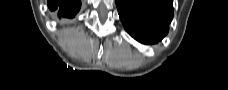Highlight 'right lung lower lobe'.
Returning a JSON list of instances; mask_svg holds the SVG:
<instances>
[{
  "mask_svg": "<svg viewBox=\"0 0 228 90\" xmlns=\"http://www.w3.org/2000/svg\"><path fill=\"white\" fill-rule=\"evenodd\" d=\"M81 2L79 0H48L50 10H58L63 17H74L79 11Z\"/></svg>",
  "mask_w": 228,
  "mask_h": 90,
  "instance_id": "obj_1",
  "label": "right lung lower lobe"
}]
</instances>
